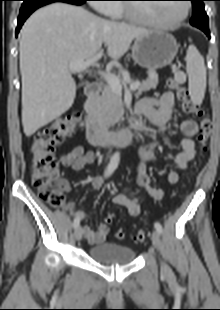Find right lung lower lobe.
Segmentation results:
<instances>
[{"mask_svg":"<svg viewBox=\"0 0 220 310\" xmlns=\"http://www.w3.org/2000/svg\"><path fill=\"white\" fill-rule=\"evenodd\" d=\"M58 1L70 3V4H74V5H82L83 3H85L86 0H34L31 2H23L21 9H20L19 17H18V25L16 28V36L18 35V32H19L21 26L23 25V23L31 15L32 12H34L39 7H42V6L47 5L49 3L58 2Z\"/></svg>","mask_w":220,"mask_h":310,"instance_id":"1","label":"right lung lower lobe"}]
</instances>
